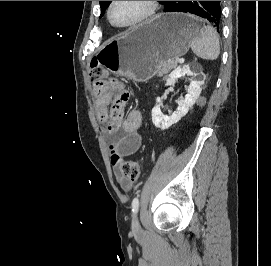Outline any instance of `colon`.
Returning <instances> with one entry per match:
<instances>
[{
	"label": "colon",
	"mask_w": 271,
	"mask_h": 266,
	"mask_svg": "<svg viewBox=\"0 0 271 266\" xmlns=\"http://www.w3.org/2000/svg\"><path fill=\"white\" fill-rule=\"evenodd\" d=\"M90 79L94 87L100 90H112L120 98H129L128 89L119 81L108 79V74L105 69L97 64H92L90 67ZM112 164L117 167L120 175L130 181H136L140 176V165L137 161L124 159L116 150V145L110 146Z\"/></svg>",
	"instance_id": "5ec220e1"
}]
</instances>
